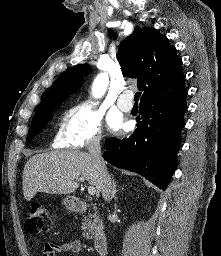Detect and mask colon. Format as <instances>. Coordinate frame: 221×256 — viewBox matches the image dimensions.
Instances as JSON below:
<instances>
[{
    "instance_id": "obj_1",
    "label": "colon",
    "mask_w": 221,
    "mask_h": 256,
    "mask_svg": "<svg viewBox=\"0 0 221 256\" xmlns=\"http://www.w3.org/2000/svg\"><path fill=\"white\" fill-rule=\"evenodd\" d=\"M25 226L27 231L31 233L46 232L50 229L51 219L42 204H31Z\"/></svg>"
}]
</instances>
